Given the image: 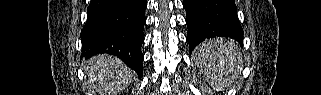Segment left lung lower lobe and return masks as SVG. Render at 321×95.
I'll return each instance as SVG.
<instances>
[{
	"label": "left lung lower lobe",
	"mask_w": 321,
	"mask_h": 95,
	"mask_svg": "<svg viewBox=\"0 0 321 95\" xmlns=\"http://www.w3.org/2000/svg\"><path fill=\"white\" fill-rule=\"evenodd\" d=\"M190 52L208 38L230 37L243 42L234 0H184Z\"/></svg>",
	"instance_id": "1"
}]
</instances>
